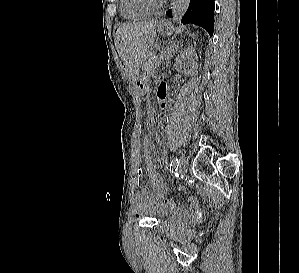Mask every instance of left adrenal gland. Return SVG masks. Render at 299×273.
I'll return each instance as SVG.
<instances>
[{"mask_svg":"<svg viewBox=\"0 0 299 273\" xmlns=\"http://www.w3.org/2000/svg\"><path fill=\"white\" fill-rule=\"evenodd\" d=\"M182 47V44L174 45L173 47L168 48L167 55L165 56V67H168L170 64L171 58L175 55V53Z\"/></svg>","mask_w":299,"mask_h":273,"instance_id":"1","label":"left adrenal gland"}]
</instances>
